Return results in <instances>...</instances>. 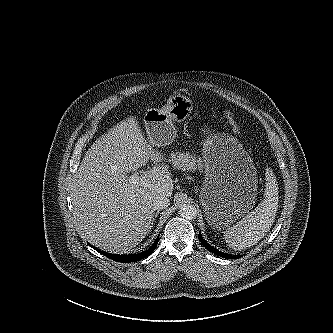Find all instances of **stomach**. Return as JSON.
<instances>
[{
    "label": "stomach",
    "mask_w": 333,
    "mask_h": 333,
    "mask_svg": "<svg viewBox=\"0 0 333 333\" xmlns=\"http://www.w3.org/2000/svg\"><path fill=\"white\" fill-rule=\"evenodd\" d=\"M193 110L192 100L171 95L161 109L144 114L148 140L156 147L170 145L176 137L173 121H184ZM205 181L200 197L210 226L222 229L249 212L262 194V177L242 145L232 136L202 129Z\"/></svg>",
    "instance_id": "obj_1"
}]
</instances>
